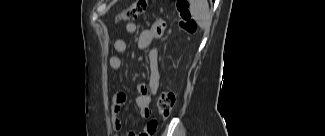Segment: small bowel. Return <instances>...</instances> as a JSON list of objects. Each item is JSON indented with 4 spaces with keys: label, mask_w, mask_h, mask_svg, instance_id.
Returning a JSON list of instances; mask_svg holds the SVG:
<instances>
[{
    "label": "small bowel",
    "mask_w": 325,
    "mask_h": 136,
    "mask_svg": "<svg viewBox=\"0 0 325 136\" xmlns=\"http://www.w3.org/2000/svg\"><path fill=\"white\" fill-rule=\"evenodd\" d=\"M127 34H135L137 25L135 23H127L124 26ZM165 32V24L158 22L149 29L143 30L137 39L138 47L142 50L149 48L151 43L163 36ZM127 46L124 40L117 39L113 43V55L109 58V66L112 70H119L122 66L121 55L126 52ZM160 81L158 55L155 50L149 52V78L148 82L138 85L135 88L136 92V105L140 109L141 116L147 119L148 122L140 133L128 132V136H151L155 133L158 123L151 119L152 110L151 102L154 94L156 93ZM126 101L125 92H117L113 98L111 106L112 125L114 130L120 131L122 129V121L118 115L121 107Z\"/></svg>",
    "instance_id": "small-bowel-1"
}]
</instances>
